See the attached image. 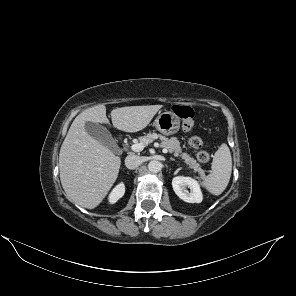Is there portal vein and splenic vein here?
<instances>
[{"instance_id":"obj_1","label":"portal vein and splenic vein","mask_w":296,"mask_h":296,"mask_svg":"<svg viewBox=\"0 0 296 296\" xmlns=\"http://www.w3.org/2000/svg\"><path fill=\"white\" fill-rule=\"evenodd\" d=\"M145 146L146 145L144 143H142V142L136 143V144H133L131 146V150L134 151V152H140V151H142L144 149ZM163 152L164 153H167L168 150L167 149H163Z\"/></svg>"}]
</instances>
